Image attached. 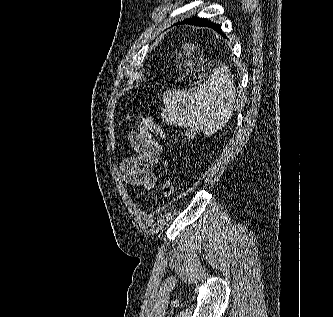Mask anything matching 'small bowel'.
Segmentation results:
<instances>
[{
  "mask_svg": "<svg viewBox=\"0 0 333 317\" xmlns=\"http://www.w3.org/2000/svg\"><path fill=\"white\" fill-rule=\"evenodd\" d=\"M127 138L136 155L121 162L120 178L131 186L154 188L157 182L154 168L163 151L158 139L165 140L164 130L151 118L142 116L137 119L136 128L128 133Z\"/></svg>",
  "mask_w": 333,
  "mask_h": 317,
  "instance_id": "obj_1",
  "label": "small bowel"
}]
</instances>
